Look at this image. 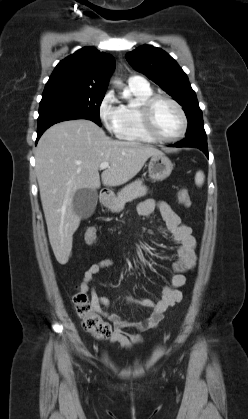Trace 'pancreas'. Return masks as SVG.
Listing matches in <instances>:
<instances>
[{"instance_id": "1", "label": "pancreas", "mask_w": 248, "mask_h": 419, "mask_svg": "<svg viewBox=\"0 0 248 419\" xmlns=\"http://www.w3.org/2000/svg\"><path fill=\"white\" fill-rule=\"evenodd\" d=\"M147 187L143 185L140 179L126 185L118 193L114 199L113 205L110 207L112 212H119L124 208V205L136 198L143 197L147 194Z\"/></svg>"}]
</instances>
